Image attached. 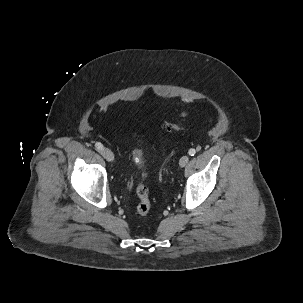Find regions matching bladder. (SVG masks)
Wrapping results in <instances>:
<instances>
[{
    "label": "bladder",
    "mask_w": 303,
    "mask_h": 303,
    "mask_svg": "<svg viewBox=\"0 0 303 303\" xmlns=\"http://www.w3.org/2000/svg\"><path fill=\"white\" fill-rule=\"evenodd\" d=\"M133 157H134L135 160L137 159V161H138L137 163H140L142 161V158H143L142 150H140V149L134 150Z\"/></svg>",
    "instance_id": "1"
}]
</instances>
